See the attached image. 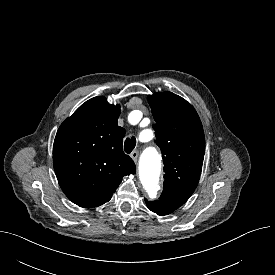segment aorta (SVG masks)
<instances>
[{"instance_id":"obj_1","label":"aorta","mask_w":275,"mask_h":275,"mask_svg":"<svg viewBox=\"0 0 275 275\" xmlns=\"http://www.w3.org/2000/svg\"><path fill=\"white\" fill-rule=\"evenodd\" d=\"M160 169V156L154 149H149L141 163L140 178L145 191L151 199L157 197Z\"/></svg>"}]
</instances>
